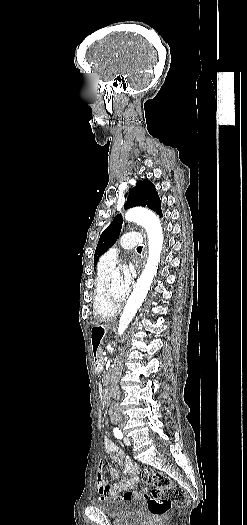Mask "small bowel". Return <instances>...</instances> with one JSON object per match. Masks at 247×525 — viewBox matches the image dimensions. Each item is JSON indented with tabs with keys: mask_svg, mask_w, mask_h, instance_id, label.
Returning <instances> with one entry per match:
<instances>
[{
	"mask_svg": "<svg viewBox=\"0 0 247 525\" xmlns=\"http://www.w3.org/2000/svg\"><path fill=\"white\" fill-rule=\"evenodd\" d=\"M103 446L107 454L110 456L111 460L120 468V470L125 474V478L117 485L118 491L123 492L122 496L117 495L114 498H106L109 500L118 501L123 500H132L134 498L140 497L142 494L146 493L147 489L143 488L141 491L133 490V486L137 480L139 467L138 465L122 451H119L114 446V443L107 436L103 438ZM109 473L112 478L117 479V473L114 469H110ZM97 482L99 488V494L102 497L107 496L108 491L113 488V485L110 482H105L102 463H99V469L97 472Z\"/></svg>",
	"mask_w": 247,
	"mask_h": 525,
	"instance_id": "small-bowel-1",
	"label": "small bowel"
}]
</instances>
